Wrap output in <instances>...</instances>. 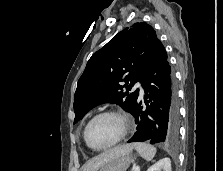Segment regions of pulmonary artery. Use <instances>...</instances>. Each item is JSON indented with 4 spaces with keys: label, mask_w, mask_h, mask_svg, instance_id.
<instances>
[{
    "label": "pulmonary artery",
    "mask_w": 223,
    "mask_h": 171,
    "mask_svg": "<svg viewBox=\"0 0 223 171\" xmlns=\"http://www.w3.org/2000/svg\"><path fill=\"white\" fill-rule=\"evenodd\" d=\"M136 88L139 89V91H140V95L143 96V95H144V90H143L141 84L137 83V84H136Z\"/></svg>",
    "instance_id": "obj_1"
}]
</instances>
